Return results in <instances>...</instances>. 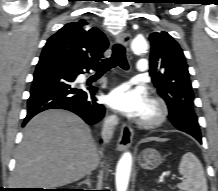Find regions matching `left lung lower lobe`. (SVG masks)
Instances as JSON below:
<instances>
[{
  "label": "left lung lower lobe",
  "mask_w": 218,
  "mask_h": 191,
  "mask_svg": "<svg viewBox=\"0 0 218 191\" xmlns=\"http://www.w3.org/2000/svg\"><path fill=\"white\" fill-rule=\"evenodd\" d=\"M181 115V120H178L176 121L175 123H172L178 130H181L183 132H186L190 135H192L193 137H195L200 143L202 142L201 141V134L200 132H196V131H193V132H187L184 130V126H182V123L188 121L191 119L192 117V114L189 112V110L187 108L184 109L183 112L180 113Z\"/></svg>",
  "instance_id": "left-lung-lower-lobe-1"
}]
</instances>
